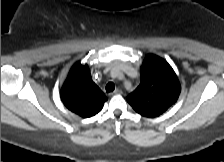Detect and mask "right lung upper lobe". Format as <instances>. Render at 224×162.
<instances>
[{
	"mask_svg": "<svg viewBox=\"0 0 224 162\" xmlns=\"http://www.w3.org/2000/svg\"><path fill=\"white\" fill-rule=\"evenodd\" d=\"M61 99L69 110L89 118L102 110L107 97L92 81L88 65L77 62L61 88Z\"/></svg>",
	"mask_w": 224,
	"mask_h": 162,
	"instance_id": "1",
	"label": "right lung upper lobe"
}]
</instances>
